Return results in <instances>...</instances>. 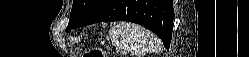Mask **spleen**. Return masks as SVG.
<instances>
[{
    "instance_id": "1",
    "label": "spleen",
    "mask_w": 249,
    "mask_h": 57,
    "mask_svg": "<svg viewBox=\"0 0 249 57\" xmlns=\"http://www.w3.org/2000/svg\"><path fill=\"white\" fill-rule=\"evenodd\" d=\"M109 36L114 46L135 55H145L160 49V41L153 33L133 23L121 22L114 25Z\"/></svg>"
}]
</instances>
